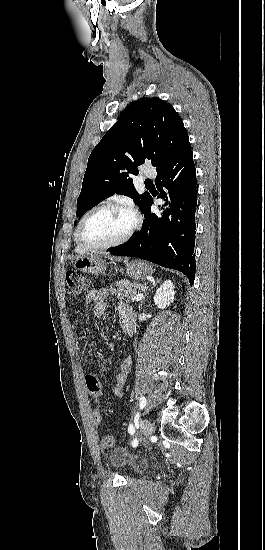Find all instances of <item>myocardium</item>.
<instances>
[{
	"instance_id": "f54148a6",
	"label": "myocardium",
	"mask_w": 265,
	"mask_h": 550,
	"mask_svg": "<svg viewBox=\"0 0 265 550\" xmlns=\"http://www.w3.org/2000/svg\"><path fill=\"white\" fill-rule=\"evenodd\" d=\"M107 208L119 209L129 213L133 217V224L131 228L128 230V232L124 236L110 243L90 244L86 242L82 237V228L85 222L93 213L102 209H107ZM140 226H141V218L139 214L130 205L124 202L108 201L91 208L84 214V216L81 218V220L77 225V228L75 231V237L78 244L87 251L109 249V248L117 247L119 245L126 243L139 230Z\"/></svg>"
}]
</instances>
